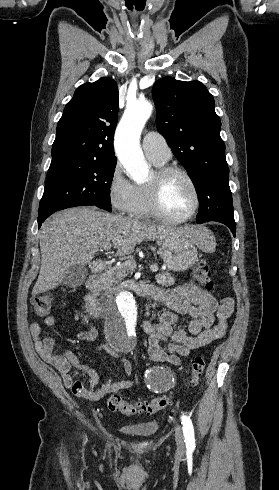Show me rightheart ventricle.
Returning a JSON list of instances; mask_svg holds the SVG:
<instances>
[{"label": "right heart ventricle", "mask_w": 279, "mask_h": 490, "mask_svg": "<svg viewBox=\"0 0 279 490\" xmlns=\"http://www.w3.org/2000/svg\"><path fill=\"white\" fill-rule=\"evenodd\" d=\"M152 162L157 166L163 165V164H157L154 161H152ZM137 189H138V193H139V197H140V206H139L137 213L134 216H136L138 218L151 217L153 214H152V211L150 208V200H149L150 189H149V186L148 185L147 186H138Z\"/></svg>", "instance_id": "e07e8e85"}]
</instances>
